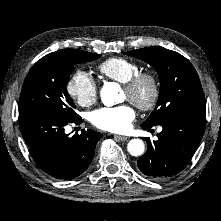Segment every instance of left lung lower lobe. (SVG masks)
Segmentation results:
<instances>
[{"mask_svg":"<svg viewBox=\"0 0 221 221\" xmlns=\"http://www.w3.org/2000/svg\"><path fill=\"white\" fill-rule=\"evenodd\" d=\"M205 110H191L176 114L159 124L162 132L158 140L146 138L148 149L137 165L154 179L171 177L183 170L193 157L204 134ZM150 130L151 127L142 126Z\"/></svg>","mask_w":221,"mask_h":221,"instance_id":"1","label":"left lung lower lobe"}]
</instances>
